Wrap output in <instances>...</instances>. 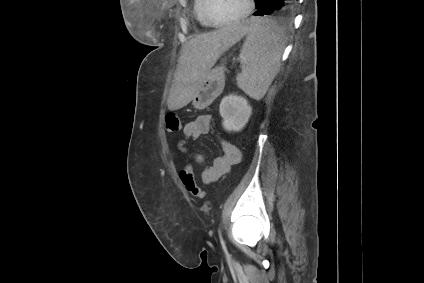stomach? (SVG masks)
<instances>
[{"label":"stomach","mask_w":424,"mask_h":283,"mask_svg":"<svg viewBox=\"0 0 424 283\" xmlns=\"http://www.w3.org/2000/svg\"><path fill=\"white\" fill-rule=\"evenodd\" d=\"M222 67L219 68H215L213 70H210L205 78L203 79V82L201 83L195 97L192 99L193 100V105L196 108L201 109L204 104L202 103V97L204 94H206L208 92V90L211 88V86L213 85L214 82H216L217 80V76L219 73L222 72ZM221 82V80H220Z\"/></svg>","instance_id":"obj_1"}]
</instances>
